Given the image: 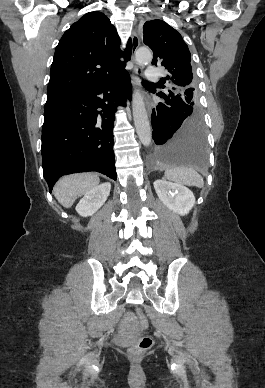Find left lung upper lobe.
<instances>
[{
  "instance_id": "left-lung-upper-lobe-1",
  "label": "left lung upper lobe",
  "mask_w": 265,
  "mask_h": 388,
  "mask_svg": "<svg viewBox=\"0 0 265 388\" xmlns=\"http://www.w3.org/2000/svg\"><path fill=\"white\" fill-rule=\"evenodd\" d=\"M143 41L154 52L152 64L164 66L170 85L168 92L178 96L185 104L199 108L198 92L193 81L191 55L182 36L162 20L147 21Z\"/></svg>"
}]
</instances>
